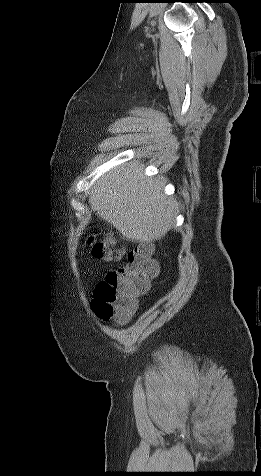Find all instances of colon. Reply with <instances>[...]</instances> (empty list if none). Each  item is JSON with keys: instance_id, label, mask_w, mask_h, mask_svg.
Wrapping results in <instances>:
<instances>
[{"instance_id": "1", "label": "colon", "mask_w": 261, "mask_h": 476, "mask_svg": "<svg viewBox=\"0 0 261 476\" xmlns=\"http://www.w3.org/2000/svg\"><path fill=\"white\" fill-rule=\"evenodd\" d=\"M89 243L96 258L114 260L125 257L124 263L97 285L92 302V308L101 320L125 322L137 308V297L148 290L150 281L158 274L153 245L142 242L124 251L114 249L111 240L99 242L91 238Z\"/></svg>"}]
</instances>
